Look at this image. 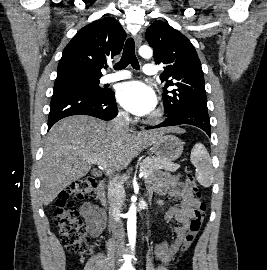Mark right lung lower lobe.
<instances>
[{"mask_svg":"<svg viewBox=\"0 0 267 270\" xmlns=\"http://www.w3.org/2000/svg\"><path fill=\"white\" fill-rule=\"evenodd\" d=\"M118 113L113 91L91 94L76 91L54 92L50 104L48 130L60 119L72 115H89L108 121Z\"/></svg>","mask_w":267,"mask_h":270,"instance_id":"98d812e1","label":"right lung lower lobe"}]
</instances>
